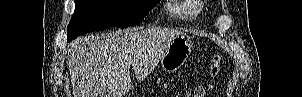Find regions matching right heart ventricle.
<instances>
[{
	"instance_id": "obj_1",
	"label": "right heart ventricle",
	"mask_w": 302,
	"mask_h": 97,
	"mask_svg": "<svg viewBox=\"0 0 302 97\" xmlns=\"http://www.w3.org/2000/svg\"><path fill=\"white\" fill-rule=\"evenodd\" d=\"M190 1H174L168 6V12L183 21H192L195 18V9L187 5Z\"/></svg>"
}]
</instances>
